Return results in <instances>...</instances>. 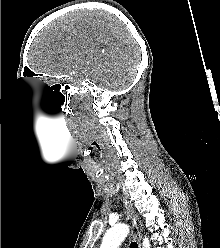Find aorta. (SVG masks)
<instances>
[{
  "label": "aorta",
  "mask_w": 220,
  "mask_h": 248,
  "mask_svg": "<svg viewBox=\"0 0 220 248\" xmlns=\"http://www.w3.org/2000/svg\"><path fill=\"white\" fill-rule=\"evenodd\" d=\"M128 233V225H115L105 234L100 248H119ZM143 248H150L149 240L146 237L143 239Z\"/></svg>",
  "instance_id": "aorta-1"
}]
</instances>
